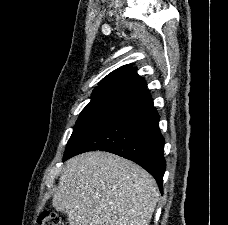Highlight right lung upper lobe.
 Listing matches in <instances>:
<instances>
[{
	"mask_svg": "<svg viewBox=\"0 0 228 225\" xmlns=\"http://www.w3.org/2000/svg\"><path fill=\"white\" fill-rule=\"evenodd\" d=\"M111 84H123L140 90L146 89L144 79L136 73V68L131 64L124 65L108 74L100 81L99 86Z\"/></svg>",
	"mask_w": 228,
	"mask_h": 225,
	"instance_id": "cb5924a9",
	"label": "right lung upper lobe"
}]
</instances>
